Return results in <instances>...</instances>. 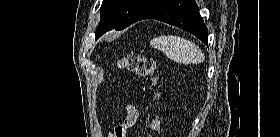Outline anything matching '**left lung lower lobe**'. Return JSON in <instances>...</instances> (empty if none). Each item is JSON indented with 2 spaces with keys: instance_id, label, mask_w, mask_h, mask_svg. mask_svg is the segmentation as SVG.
<instances>
[{
  "instance_id": "left-lung-lower-lobe-1",
  "label": "left lung lower lobe",
  "mask_w": 280,
  "mask_h": 137,
  "mask_svg": "<svg viewBox=\"0 0 280 137\" xmlns=\"http://www.w3.org/2000/svg\"><path fill=\"white\" fill-rule=\"evenodd\" d=\"M143 19H156L174 25L208 44V31L195 0H160L139 20Z\"/></svg>"
}]
</instances>
